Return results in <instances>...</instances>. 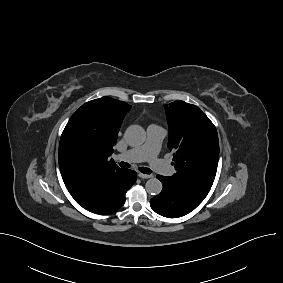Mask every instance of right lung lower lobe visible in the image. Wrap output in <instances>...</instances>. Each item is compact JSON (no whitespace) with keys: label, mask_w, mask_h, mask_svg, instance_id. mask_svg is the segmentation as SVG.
<instances>
[{"label":"right lung lower lobe","mask_w":283,"mask_h":283,"mask_svg":"<svg viewBox=\"0 0 283 283\" xmlns=\"http://www.w3.org/2000/svg\"><path fill=\"white\" fill-rule=\"evenodd\" d=\"M135 171L122 169L104 178L81 198L75 199L86 210L96 214L117 211L125 203V193L136 182Z\"/></svg>","instance_id":"right-lung-lower-lobe-1"}]
</instances>
